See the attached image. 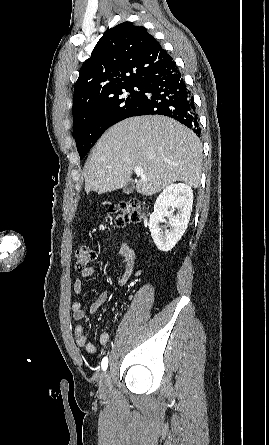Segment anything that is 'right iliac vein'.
Masks as SVG:
<instances>
[{
    "label": "right iliac vein",
    "instance_id": "right-iliac-vein-1",
    "mask_svg": "<svg viewBox=\"0 0 269 445\" xmlns=\"http://www.w3.org/2000/svg\"><path fill=\"white\" fill-rule=\"evenodd\" d=\"M99 392L100 395L104 398L107 397L110 392V374L109 372H105L100 379L99 383Z\"/></svg>",
    "mask_w": 269,
    "mask_h": 445
}]
</instances>
